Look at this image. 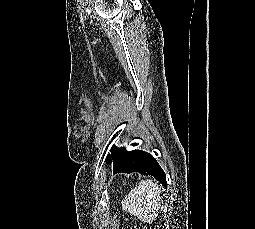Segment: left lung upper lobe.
<instances>
[{"mask_svg": "<svg viewBox=\"0 0 255 229\" xmlns=\"http://www.w3.org/2000/svg\"><path fill=\"white\" fill-rule=\"evenodd\" d=\"M124 149L120 148V149H116L115 147H113L111 149V155L109 154L106 158V163H111V160L119 155H121L123 153Z\"/></svg>", "mask_w": 255, "mask_h": 229, "instance_id": "1", "label": "left lung upper lobe"}]
</instances>
